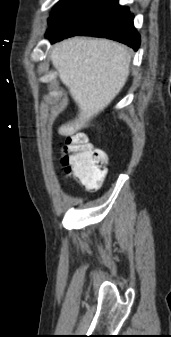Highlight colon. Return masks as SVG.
<instances>
[{"instance_id":"colon-1","label":"colon","mask_w":171,"mask_h":337,"mask_svg":"<svg viewBox=\"0 0 171 337\" xmlns=\"http://www.w3.org/2000/svg\"><path fill=\"white\" fill-rule=\"evenodd\" d=\"M60 163L65 174L89 190H98L107 174V155L94 147L83 133L66 138Z\"/></svg>"}]
</instances>
